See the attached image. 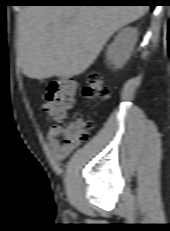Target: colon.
Returning <instances> with one entry per match:
<instances>
[{
  "instance_id": "obj_1",
  "label": "colon",
  "mask_w": 170,
  "mask_h": 231,
  "mask_svg": "<svg viewBox=\"0 0 170 231\" xmlns=\"http://www.w3.org/2000/svg\"><path fill=\"white\" fill-rule=\"evenodd\" d=\"M76 83L71 77H62L50 82L43 109L48 118L53 121L63 122L67 112L75 104ZM110 90L100 73L92 71L88 74L87 83L83 89L86 100H106ZM94 123L91 120H83L76 117L73 121L62 127L64 144L75 148L81 142L87 141Z\"/></svg>"
}]
</instances>
